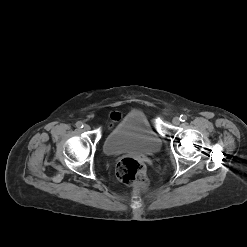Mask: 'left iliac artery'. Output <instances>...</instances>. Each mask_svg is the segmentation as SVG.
Wrapping results in <instances>:
<instances>
[{"instance_id": "left-iliac-artery-1", "label": "left iliac artery", "mask_w": 247, "mask_h": 247, "mask_svg": "<svg viewBox=\"0 0 247 247\" xmlns=\"http://www.w3.org/2000/svg\"><path fill=\"white\" fill-rule=\"evenodd\" d=\"M187 120V116L186 115H181L180 116V121L184 122Z\"/></svg>"}]
</instances>
